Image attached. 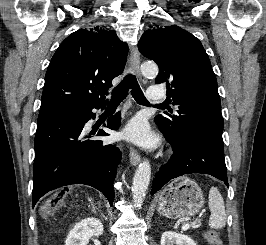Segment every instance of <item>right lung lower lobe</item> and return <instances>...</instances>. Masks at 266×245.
<instances>
[{
  "label": "right lung lower lobe",
  "instance_id": "right-lung-lower-lobe-1",
  "mask_svg": "<svg viewBox=\"0 0 266 245\" xmlns=\"http://www.w3.org/2000/svg\"><path fill=\"white\" fill-rule=\"evenodd\" d=\"M106 101L73 108L37 124L33 166V207L47 192L71 184H86L114 202L113 182L121 152L112 144L89 138L109 136L86 123L95 118L93 108H104ZM120 113L108 118L105 127L120 126Z\"/></svg>",
  "mask_w": 266,
  "mask_h": 245
}]
</instances>
